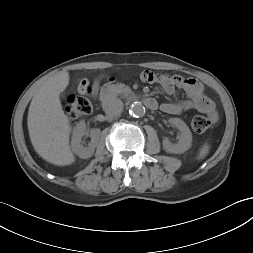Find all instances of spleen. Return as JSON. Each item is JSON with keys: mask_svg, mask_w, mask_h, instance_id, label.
Listing matches in <instances>:
<instances>
[{"mask_svg": "<svg viewBox=\"0 0 253 253\" xmlns=\"http://www.w3.org/2000/svg\"><path fill=\"white\" fill-rule=\"evenodd\" d=\"M208 152H209V145L206 143L200 148L198 153V159L199 160L203 159L208 154Z\"/></svg>", "mask_w": 253, "mask_h": 253, "instance_id": "3e777b00", "label": "spleen"}]
</instances>
